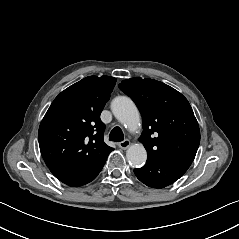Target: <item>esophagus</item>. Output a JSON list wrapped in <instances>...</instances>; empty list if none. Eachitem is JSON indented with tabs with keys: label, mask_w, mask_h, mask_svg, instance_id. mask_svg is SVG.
Returning <instances> with one entry per match:
<instances>
[{
	"label": "esophagus",
	"mask_w": 239,
	"mask_h": 239,
	"mask_svg": "<svg viewBox=\"0 0 239 239\" xmlns=\"http://www.w3.org/2000/svg\"><path fill=\"white\" fill-rule=\"evenodd\" d=\"M130 144H131L130 141L126 139L119 143V147L125 150L130 146Z\"/></svg>",
	"instance_id": "obj_1"
}]
</instances>
